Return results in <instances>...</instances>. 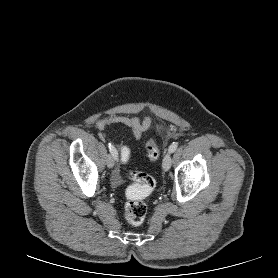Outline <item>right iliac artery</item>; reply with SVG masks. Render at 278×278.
<instances>
[{"mask_svg":"<svg viewBox=\"0 0 278 278\" xmlns=\"http://www.w3.org/2000/svg\"><path fill=\"white\" fill-rule=\"evenodd\" d=\"M108 148H109L110 153L114 156L115 160H117L118 153H117V150L115 149V147L111 143H108Z\"/></svg>","mask_w":278,"mask_h":278,"instance_id":"obj_1","label":"right iliac artery"}]
</instances>
